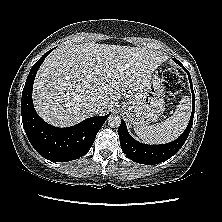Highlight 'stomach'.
Wrapping results in <instances>:
<instances>
[{
  "label": "stomach",
  "instance_id": "0dacf381",
  "mask_svg": "<svg viewBox=\"0 0 222 222\" xmlns=\"http://www.w3.org/2000/svg\"><path fill=\"white\" fill-rule=\"evenodd\" d=\"M164 89L157 74H151L142 89L125 105V113L134 126L156 121L164 111Z\"/></svg>",
  "mask_w": 222,
  "mask_h": 222
}]
</instances>
